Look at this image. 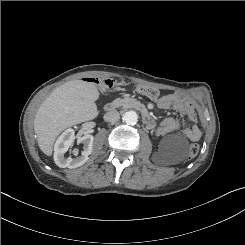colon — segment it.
Listing matches in <instances>:
<instances>
[{
    "label": "colon",
    "mask_w": 245,
    "mask_h": 245,
    "mask_svg": "<svg viewBox=\"0 0 245 245\" xmlns=\"http://www.w3.org/2000/svg\"><path fill=\"white\" fill-rule=\"evenodd\" d=\"M112 86L113 83L110 81L105 83V87L108 89L111 88ZM137 91L153 99L157 98L160 95V91L158 89L150 86H138ZM199 150H200L199 145L197 143H192L188 150V158L189 159L195 158L198 155Z\"/></svg>",
    "instance_id": "1"
}]
</instances>
